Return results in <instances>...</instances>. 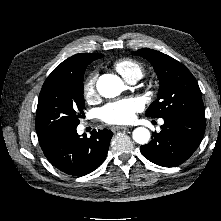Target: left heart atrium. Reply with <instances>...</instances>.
<instances>
[{
	"instance_id": "39dd6f15",
	"label": "left heart atrium",
	"mask_w": 221,
	"mask_h": 221,
	"mask_svg": "<svg viewBox=\"0 0 221 221\" xmlns=\"http://www.w3.org/2000/svg\"><path fill=\"white\" fill-rule=\"evenodd\" d=\"M142 108L138 98H123L106 104L100 111V117L107 124H128Z\"/></svg>"
}]
</instances>
